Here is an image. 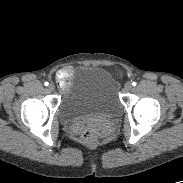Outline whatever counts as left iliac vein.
Returning <instances> with one entry per match:
<instances>
[{
    "instance_id": "left-iliac-vein-1",
    "label": "left iliac vein",
    "mask_w": 183,
    "mask_h": 183,
    "mask_svg": "<svg viewBox=\"0 0 183 183\" xmlns=\"http://www.w3.org/2000/svg\"><path fill=\"white\" fill-rule=\"evenodd\" d=\"M124 89L126 91H130L132 89V84L130 82L125 83Z\"/></svg>"
}]
</instances>
